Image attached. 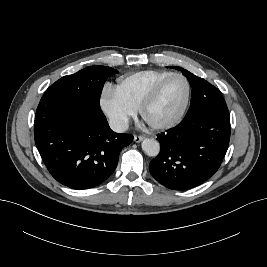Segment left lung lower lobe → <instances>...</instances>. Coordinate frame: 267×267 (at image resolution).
Listing matches in <instances>:
<instances>
[{
    "label": "left lung lower lobe",
    "instance_id": "1",
    "mask_svg": "<svg viewBox=\"0 0 267 267\" xmlns=\"http://www.w3.org/2000/svg\"><path fill=\"white\" fill-rule=\"evenodd\" d=\"M210 100L192 102L183 121L162 132L160 153L149 165L151 175L163 186L187 190L216 173L230 140L228 109L213 112Z\"/></svg>",
    "mask_w": 267,
    "mask_h": 267
}]
</instances>
